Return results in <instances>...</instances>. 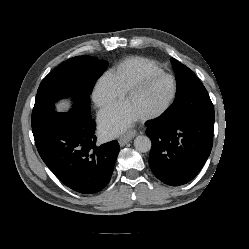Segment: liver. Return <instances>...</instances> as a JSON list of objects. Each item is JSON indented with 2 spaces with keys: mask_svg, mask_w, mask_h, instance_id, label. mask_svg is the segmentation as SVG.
I'll list each match as a JSON object with an SVG mask.
<instances>
[{
  "mask_svg": "<svg viewBox=\"0 0 249 249\" xmlns=\"http://www.w3.org/2000/svg\"><path fill=\"white\" fill-rule=\"evenodd\" d=\"M66 108H68L66 103H60V104L58 105V109L64 110V109H66Z\"/></svg>",
  "mask_w": 249,
  "mask_h": 249,
  "instance_id": "liver-1",
  "label": "liver"
}]
</instances>
